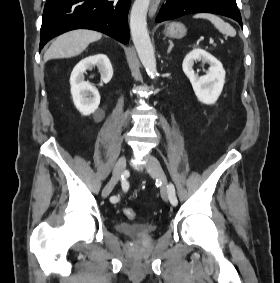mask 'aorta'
<instances>
[{"instance_id":"762f6f07","label":"aorta","mask_w":280,"mask_h":283,"mask_svg":"<svg viewBox=\"0 0 280 283\" xmlns=\"http://www.w3.org/2000/svg\"><path fill=\"white\" fill-rule=\"evenodd\" d=\"M150 0H135L130 13V31L139 59L151 79L158 75L153 46L147 30Z\"/></svg>"}]
</instances>
